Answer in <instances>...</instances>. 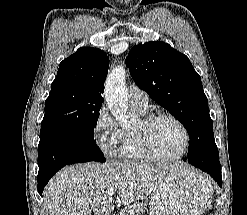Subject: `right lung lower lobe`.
Masks as SVG:
<instances>
[{
    "mask_svg": "<svg viewBox=\"0 0 247 215\" xmlns=\"http://www.w3.org/2000/svg\"><path fill=\"white\" fill-rule=\"evenodd\" d=\"M99 161L105 158L95 141L73 132H52L40 138L38 145V192L42 196L51 177L65 165Z\"/></svg>",
    "mask_w": 247,
    "mask_h": 215,
    "instance_id": "98d812e1",
    "label": "right lung lower lobe"
}]
</instances>
